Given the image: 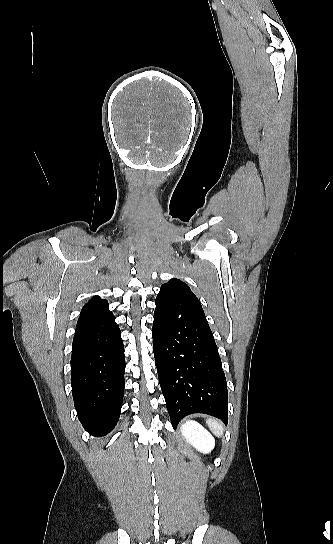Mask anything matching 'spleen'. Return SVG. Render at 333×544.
Returning a JSON list of instances; mask_svg holds the SVG:
<instances>
[{"instance_id":"obj_1","label":"spleen","mask_w":333,"mask_h":544,"mask_svg":"<svg viewBox=\"0 0 333 544\" xmlns=\"http://www.w3.org/2000/svg\"><path fill=\"white\" fill-rule=\"evenodd\" d=\"M207 425L210 428V430L218 437H221L223 435V426L220 421L215 419H208Z\"/></svg>"}]
</instances>
